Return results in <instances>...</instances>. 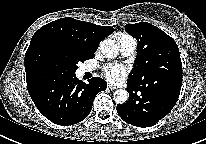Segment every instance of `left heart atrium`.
Instances as JSON below:
<instances>
[{"label": "left heart atrium", "mask_w": 206, "mask_h": 144, "mask_svg": "<svg viewBox=\"0 0 206 144\" xmlns=\"http://www.w3.org/2000/svg\"><path fill=\"white\" fill-rule=\"evenodd\" d=\"M104 75L108 81L117 83L127 75V69L120 64H110L105 67Z\"/></svg>", "instance_id": "39dd6f15"}]
</instances>
